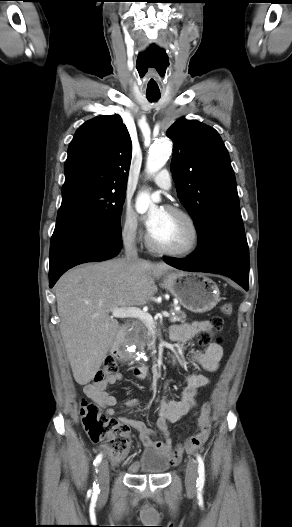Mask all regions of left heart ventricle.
<instances>
[{
    "label": "left heart ventricle",
    "instance_id": "b2bd125f",
    "mask_svg": "<svg viewBox=\"0 0 292 527\" xmlns=\"http://www.w3.org/2000/svg\"><path fill=\"white\" fill-rule=\"evenodd\" d=\"M149 232L156 243L169 248L184 247L191 237L187 222L180 216L165 210L162 211L157 225Z\"/></svg>",
    "mask_w": 292,
    "mask_h": 527
}]
</instances>
